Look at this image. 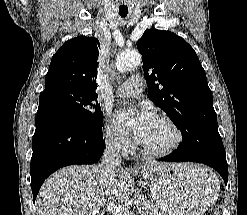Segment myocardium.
<instances>
[{
    "instance_id": "1",
    "label": "myocardium",
    "mask_w": 247,
    "mask_h": 215,
    "mask_svg": "<svg viewBox=\"0 0 247 215\" xmlns=\"http://www.w3.org/2000/svg\"><path fill=\"white\" fill-rule=\"evenodd\" d=\"M156 119L166 124L171 129L174 135V139L168 147L161 149V150H150L144 147L143 145H141L139 141H137L136 144H137L139 151L144 156L151 158V159H159V158H164V157L171 155L180 147L182 140H183L182 131L180 130L179 126L176 124V122L173 119H171L167 115H157Z\"/></svg>"
}]
</instances>
